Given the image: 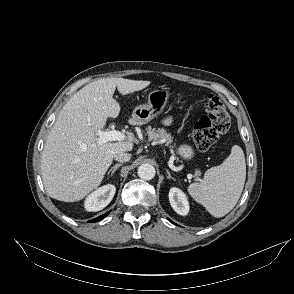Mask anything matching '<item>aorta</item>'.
<instances>
[{"mask_svg":"<svg viewBox=\"0 0 294 294\" xmlns=\"http://www.w3.org/2000/svg\"><path fill=\"white\" fill-rule=\"evenodd\" d=\"M138 176L143 180H151L155 176V168L153 165L145 163L138 167Z\"/></svg>","mask_w":294,"mask_h":294,"instance_id":"1","label":"aorta"}]
</instances>
